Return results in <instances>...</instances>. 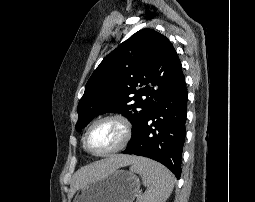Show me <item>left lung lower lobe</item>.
Instances as JSON below:
<instances>
[{"label":"left lung lower lobe","mask_w":255,"mask_h":202,"mask_svg":"<svg viewBox=\"0 0 255 202\" xmlns=\"http://www.w3.org/2000/svg\"><path fill=\"white\" fill-rule=\"evenodd\" d=\"M187 96L185 80L163 95L122 153L156 160L169 168L179 179L186 132Z\"/></svg>","instance_id":"0a47b994"}]
</instances>
